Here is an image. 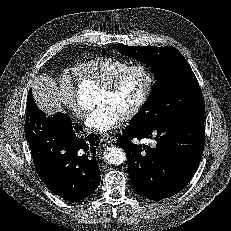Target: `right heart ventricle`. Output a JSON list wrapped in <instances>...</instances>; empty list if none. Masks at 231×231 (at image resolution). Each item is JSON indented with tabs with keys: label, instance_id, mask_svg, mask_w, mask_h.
I'll return each instance as SVG.
<instances>
[{
	"label": "right heart ventricle",
	"instance_id": "1",
	"mask_svg": "<svg viewBox=\"0 0 231 231\" xmlns=\"http://www.w3.org/2000/svg\"><path fill=\"white\" fill-rule=\"evenodd\" d=\"M128 65L129 62L126 60L102 56L76 63L72 71L81 80L88 79L102 85Z\"/></svg>",
	"mask_w": 231,
	"mask_h": 231
}]
</instances>
